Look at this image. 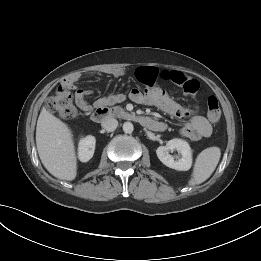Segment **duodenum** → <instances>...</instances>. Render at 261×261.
Wrapping results in <instances>:
<instances>
[{
    "label": "duodenum",
    "instance_id": "duodenum-1",
    "mask_svg": "<svg viewBox=\"0 0 261 261\" xmlns=\"http://www.w3.org/2000/svg\"><path fill=\"white\" fill-rule=\"evenodd\" d=\"M114 114H120L121 116H123L127 119L137 121L142 126L148 128L150 130L162 131L165 128L164 124L152 119L151 117L138 116V115L128 113V112H119L118 110L108 107L106 105H102V106L98 107L92 114V118L96 122H101V121L105 120L107 117L114 115Z\"/></svg>",
    "mask_w": 261,
    "mask_h": 261
}]
</instances>
